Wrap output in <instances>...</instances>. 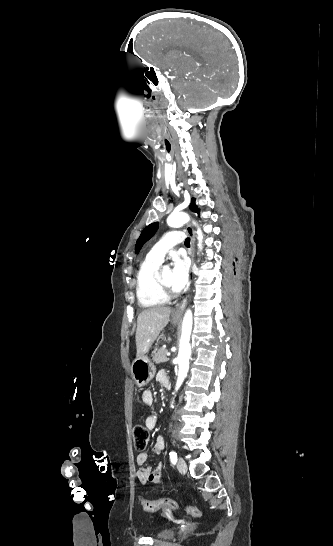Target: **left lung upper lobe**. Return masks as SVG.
Listing matches in <instances>:
<instances>
[{
    "label": "left lung upper lobe",
    "instance_id": "obj_1",
    "mask_svg": "<svg viewBox=\"0 0 333 546\" xmlns=\"http://www.w3.org/2000/svg\"><path fill=\"white\" fill-rule=\"evenodd\" d=\"M190 209L193 212H199L197 206L195 205V199L194 198L191 201ZM158 226H159L158 223H152V224L148 225L143 230V232L141 233L139 239L137 240L136 246H135V252L136 253H139V251H140L141 247L143 246V244L146 241H148L155 234V232L158 229Z\"/></svg>",
    "mask_w": 333,
    "mask_h": 546
}]
</instances>
